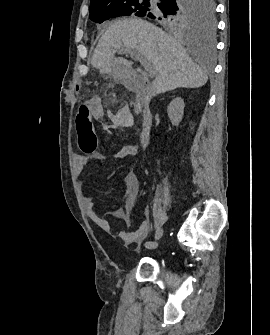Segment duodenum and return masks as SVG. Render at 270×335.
<instances>
[{
  "label": "duodenum",
  "mask_w": 270,
  "mask_h": 335,
  "mask_svg": "<svg viewBox=\"0 0 270 335\" xmlns=\"http://www.w3.org/2000/svg\"><path fill=\"white\" fill-rule=\"evenodd\" d=\"M136 90H139V88H136ZM140 127V141L142 146H146L149 143L152 128V114L147 107L142 108V119Z\"/></svg>",
  "instance_id": "410a0bca"
}]
</instances>
